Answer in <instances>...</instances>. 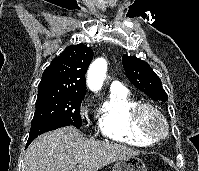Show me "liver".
I'll return each instance as SVG.
<instances>
[{
  "label": "liver",
  "mask_w": 199,
  "mask_h": 171,
  "mask_svg": "<svg viewBox=\"0 0 199 171\" xmlns=\"http://www.w3.org/2000/svg\"><path fill=\"white\" fill-rule=\"evenodd\" d=\"M138 154L125 145L86 138L75 127L67 126L45 133L31 143L24 171H98Z\"/></svg>",
  "instance_id": "6515ba94"
}]
</instances>
